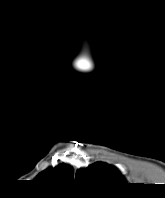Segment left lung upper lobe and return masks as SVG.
I'll return each instance as SVG.
<instances>
[{
    "label": "left lung upper lobe",
    "instance_id": "obj_1",
    "mask_svg": "<svg viewBox=\"0 0 165 198\" xmlns=\"http://www.w3.org/2000/svg\"><path fill=\"white\" fill-rule=\"evenodd\" d=\"M75 179L93 186H120L126 183L120 172L113 166L97 162L88 168L79 169Z\"/></svg>",
    "mask_w": 165,
    "mask_h": 198
}]
</instances>
